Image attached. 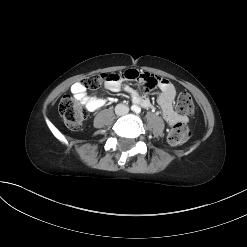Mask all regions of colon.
I'll use <instances>...</instances> for the list:
<instances>
[{
	"label": "colon",
	"instance_id": "1",
	"mask_svg": "<svg viewBox=\"0 0 247 247\" xmlns=\"http://www.w3.org/2000/svg\"><path fill=\"white\" fill-rule=\"evenodd\" d=\"M109 74L90 75L83 80L82 84L85 89H98L104 86V80ZM176 109L181 115H191L194 112L192 97L186 92L180 93L176 101ZM58 110L65 125L70 130H78L86 118L82 103L69 95L62 97ZM189 135L190 131L187 124L181 121L171 129L167 140L170 145L177 146L183 144L189 138Z\"/></svg>",
	"mask_w": 247,
	"mask_h": 247
}]
</instances>
